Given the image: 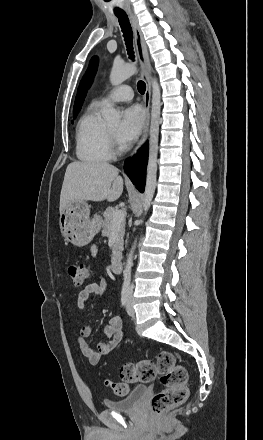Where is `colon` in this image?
<instances>
[{"label":"colon","instance_id":"5ec220e1","mask_svg":"<svg viewBox=\"0 0 263 440\" xmlns=\"http://www.w3.org/2000/svg\"><path fill=\"white\" fill-rule=\"evenodd\" d=\"M67 272L76 286L84 284L90 276L89 268L82 263L69 264ZM118 374L127 383H149L160 375L164 388L156 393L150 402L151 410L155 414L183 404L188 397L187 370L183 365L178 364L174 355L168 351L160 352L156 362L140 360L125 363L119 367ZM105 386L117 395L123 396L128 392L125 383L106 380Z\"/></svg>","mask_w":263,"mask_h":440}]
</instances>
